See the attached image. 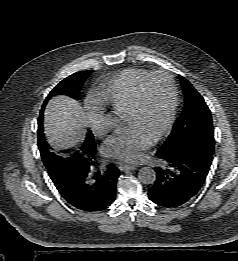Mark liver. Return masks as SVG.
<instances>
[{
	"mask_svg": "<svg viewBox=\"0 0 238 261\" xmlns=\"http://www.w3.org/2000/svg\"><path fill=\"white\" fill-rule=\"evenodd\" d=\"M88 116L80 104L66 96H56L46 106L44 130L55 148L71 147L84 139Z\"/></svg>",
	"mask_w": 238,
	"mask_h": 261,
	"instance_id": "1",
	"label": "liver"
}]
</instances>
